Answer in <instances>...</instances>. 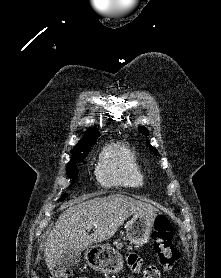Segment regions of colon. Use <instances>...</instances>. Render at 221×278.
Instances as JSON below:
<instances>
[{"mask_svg":"<svg viewBox=\"0 0 221 278\" xmlns=\"http://www.w3.org/2000/svg\"><path fill=\"white\" fill-rule=\"evenodd\" d=\"M172 239L173 227L169 219L164 215H158L154 222L152 245L158 262L163 268L173 267L179 257L178 249ZM146 274L149 278H158L159 271L155 267H148ZM49 278H73V271L69 267H58L51 272Z\"/></svg>","mask_w":221,"mask_h":278,"instance_id":"obj_1","label":"colon"}]
</instances>
